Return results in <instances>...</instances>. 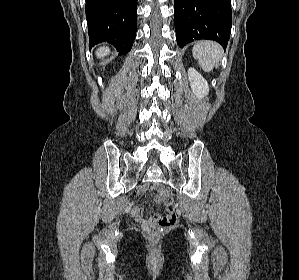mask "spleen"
<instances>
[{"label":"spleen","instance_id":"spleen-1","mask_svg":"<svg viewBox=\"0 0 299 280\" xmlns=\"http://www.w3.org/2000/svg\"><path fill=\"white\" fill-rule=\"evenodd\" d=\"M192 54L198 60L200 67L205 72H210L219 65L223 50L219 44L213 41H199L194 45Z\"/></svg>","mask_w":299,"mask_h":280}]
</instances>
